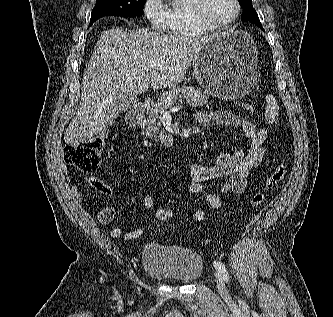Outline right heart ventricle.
Returning a JSON list of instances; mask_svg holds the SVG:
<instances>
[{"label": "right heart ventricle", "instance_id": "right-heart-ventricle-1", "mask_svg": "<svg viewBox=\"0 0 333 317\" xmlns=\"http://www.w3.org/2000/svg\"><path fill=\"white\" fill-rule=\"evenodd\" d=\"M190 0H175L166 11V27L168 34L178 38H194L207 33L198 27L190 14Z\"/></svg>", "mask_w": 333, "mask_h": 317}]
</instances>
